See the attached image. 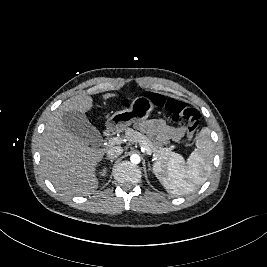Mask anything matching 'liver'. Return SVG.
I'll return each mask as SVG.
<instances>
[{"label":"liver","instance_id":"1","mask_svg":"<svg viewBox=\"0 0 267 267\" xmlns=\"http://www.w3.org/2000/svg\"><path fill=\"white\" fill-rule=\"evenodd\" d=\"M116 94L107 93L103 99ZM93 106L88 95L72 97L63 102L48 119L39 145L41 167L56 189L67 195H88L98 187L96 168L106 148L90 147L89 143L67 131L62 122L65 112L85 113Z\"/></svg>","mask_w":267,"mask_h":267}]
</instances>
